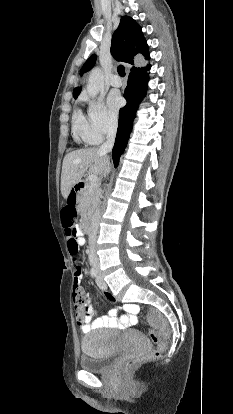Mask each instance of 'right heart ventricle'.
Returning <instances> with one entry per match:
<instances>
[{
	"label": "right heart ventricle",
	"mask_w": 233,
	"mask_h": 414,
	"mask_svg": "<svg viewBox=\"0 0 233 414\" xmlns=\"http://www.w3.org/2000/svg\"><path fill=\"white\" fill-rule=\"evenodd\" d=\"M72 132L77 142L93 143L91 141L89 120L79 109L74 112L72 117Z\"/></svg>",
	"instance_id": "obj_1"
}]
</instances>
